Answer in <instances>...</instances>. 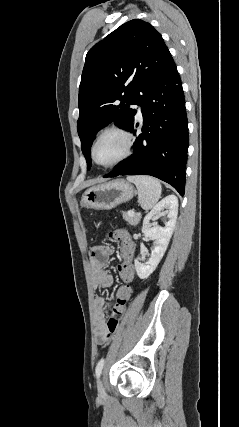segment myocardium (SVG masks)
<instances>
[{"mask_svg": "<svg viewBox=\"0 0 239 427\" xmlns=\"http://www.w3.org/2000/svg\"><path fill=\"white\" fill-rule=\"evenodd\" d=\"M108 133H117V134L121 135L125 141V150H124L123 154L118 159H116L115 161L108 163V164H101V163L97 162V160L95 158V148H96V145L99 142V140L104 135H106ZM133 145H134V138H133V135L130 131H128L126 128L119 126V125L108 126V127L104 128L95 138V140L91 146V150H90L91 159L96 165H98L100 167L112 168V167L119 165L123 161H125L132 154Z\"/></svg>", "mask_w": 239, "mask_h": 427, "instance_id": "myocardium-1", "label": "myocardium"}]
</instances>
